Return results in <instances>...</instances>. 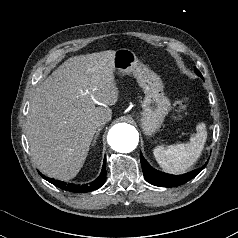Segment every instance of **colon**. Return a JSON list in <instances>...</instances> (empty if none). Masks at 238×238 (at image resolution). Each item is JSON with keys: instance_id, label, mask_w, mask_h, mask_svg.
<instances>
[{"instance_id": "1", "label": "colon", "mask_w": 238, "mask_h": 238, "mask_svg": "<svg viewBox=\"0 0 238 238\" xmlns=\"http://www.w3.org/2000/svg\"><path fill=\"white\" fill-rule=\"evenodd\" d=\"M187 109V101L185 99L178 100L175 103V117L176 119L180 118L181 115L186 111Z\"/></svg>"}]
</instances>
